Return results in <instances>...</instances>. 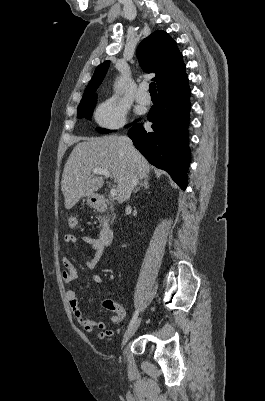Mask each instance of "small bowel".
I'll list each match as a JSON object with an SVG mask.
<instances>
[{
    "instance_id": "small-bowel-1",
    "label": "small bowel",
    "mask_w": 265,
    "mask_h": 401,
    "mask_svg": "<svg viewBox=\"0 0 265 401\" xmlns=\"http://www.w3.org/2000/svg\"><path fill=\"white\" fill-rule=\"evenodd\" d=\"M82 242L87 244L93 251L94 255L91 259L85 261V265L89 269H94L101 260V257L104 252V245L101 243L99 238H94L89 235L81 236ZM63 241L66 244H75L77 242V237L73 234H66L63 237ZM62 279L65 285H70L77 278V270L70 259L66 256L62 258ZM93 282L96 284H102L103 278L99 274H94L92 276ZM66 299L68 301L69 307L72 311V314L76 321L83 328L84 332L92 333L96 329L100 332L98 333L99 340H105L113 336L112 330H105L106 325L103 321L100 320H91L85 318L81 309L79 308L78 297L75 291L68 290L66 292ZM108 301L104 302V305L107 307ZM108 308V307H107ZM115 315L111 317V322L115 325L119 324L125 317V310L120 305L116 304L114 309Z\"/></svg>"
}]
</instances>
